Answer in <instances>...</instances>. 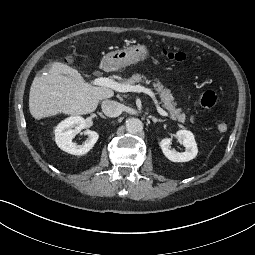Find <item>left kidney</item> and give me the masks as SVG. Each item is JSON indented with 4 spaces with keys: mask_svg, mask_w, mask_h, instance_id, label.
<instances>
[{
    "mask_svg": "<svg viewBox=\"0 0 255 255\" xmlns=\"http://www.w3.org/2000/svg\"><path fill=\"white\" fill-rule=\"evenodd\" d=\"M175 137L185 147V151L172 150L170 147L172 139L165 138L160 142L164 155L172 162H187L194 159L198 153V148L193 133L188 130H179Z\"/></svg>",
    "mask_w": 255,
    "mask_h": 255,
    "instance_id": "5707ae66",
    "label": "left kidney"
}]
</instances>
